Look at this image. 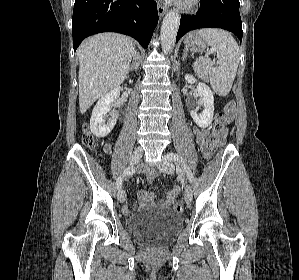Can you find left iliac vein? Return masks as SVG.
Instances as JSON below:
<instances>
[{"mask_svg": "<svg viewBox=\"0 0 299 280\" xmlns=\"http://www.w3.org/2000/svg\"><path fill=\"white\" fill-rule=\"evenodd\" d=\"M158 168L164 173L172 174L174 172V164L167 158V155L163 157V160L158 165ZM184 198L187 203H190L192 200V188L188 183L185 184Z\"/></svg>", "mask_w": 299, "mask_h": 280, "instance_id": "4c4485c4", "label": "left iliac vein"}]
</instances>
